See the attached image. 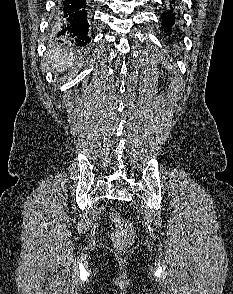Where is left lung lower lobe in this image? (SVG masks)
I'll list each match as a JSON object with an SVG mask.
<instances>
[{
  "mask_svg": "<svg viewBox=\"0 0 233 294\" xmlns=\"http://www.w3.org/2000/svg\"><path fill=\"white\" fill-rule=\"evenodd\" d=\"M162 19H163V28L166 29L167 31H169L172 27V25L174 24L175 21V16L172 13V11L169 12V14L166 16V13H164L162 15Z\"/></svg>",
  "mask_w": 233,
  "mask_h": 294,
  "instance_id": "0a47b994",
  "label": "left lung lower lobe"
}]
</instances>
